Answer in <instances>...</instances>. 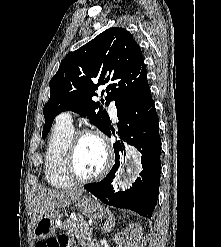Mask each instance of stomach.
Instances as JSON below:
<instances>
[{"mask_svg": "<svg viewBox=\"0 0 221 247\" xmlns=\"http://www.w3.org/2000/svg\"><path fill=\"white\" fill-rule=\"evenodd\" d=\"M76 207L79 211L91 219H102L105 216V208L97 201L88 196H82L77 200ZM60 215L58 211L44 214L35 224L33 232L38 239L51 237L57 229V220Z\"/></svg>", "mask_w": 221, "mask_h": 247, "instance_id": "1", "label": "stomach"}]
</instances>
